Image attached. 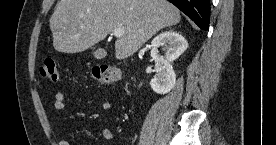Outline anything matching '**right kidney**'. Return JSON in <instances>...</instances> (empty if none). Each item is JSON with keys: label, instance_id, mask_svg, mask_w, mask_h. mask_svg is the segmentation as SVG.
Here are the masks:
<instances>
[{"label": "right kidney", "instance_id": "1", "mask_svg": "<svg viewBox=\"0 0 276 145\" xmlns=\"http://www.w3.org/2000/svg\"><path fill=\"white\" fill-rule=\"evenodd\" d=\"M164 46V55H160L158 47ZM151 57L156 63L155 76L150 81L151 88L158 94L171 91L176 83V75L172 67L175 61L188 47L186 39L176 31L169 30L157 35L151 42Z\"/></svg>", "mask_w": 276, "mask_h": 145}]
</instances>
